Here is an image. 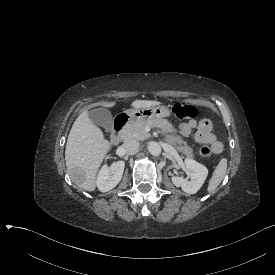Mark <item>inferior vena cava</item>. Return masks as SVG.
Segmentation results:
<instances>
[{"instance_id":"inferior-vena-cava-1","label":"inferior vena cava","mask_w":275,"mask_h":275,"mask_svg":"<svg viewBox=\"0 0 275 275\" xmlns=\"http://www.w3.org/2000/svg\"><path fill=\"white\" fill-rule=\"evenodd\" d=\"M122 148L126 153H135L139 148V142L137 140H127L123 143Z\"/></svg>"}]
</instances>
